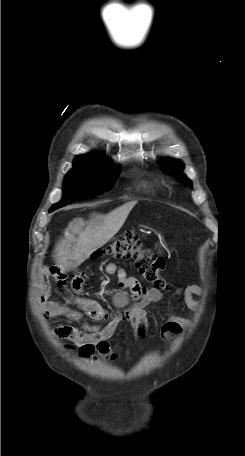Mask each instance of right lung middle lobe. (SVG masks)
Wrapping results in <instances>:
<instances>
[{
	"label": "right lung middle lobe",
	"mask_w": 245,
	"mask_h": 456,
	"mask_svg": "<svg viewBox=\"0 0 245 456\" xmlns=\"http://www.w3.org/2000/svg\"><path fill=\"white\" fill-rule=\"evenodd\" d=\"M121 167L109 163L74 165L64 180L62 200L51 209L56 210L77 200L95 197L111 190Z\"/></svg>",
	"instance_id": "obj_1"
}]
</instances>
